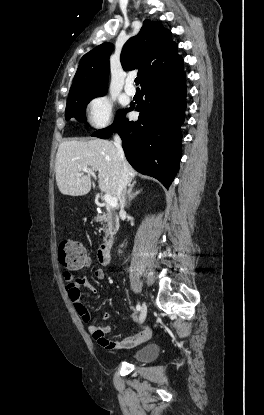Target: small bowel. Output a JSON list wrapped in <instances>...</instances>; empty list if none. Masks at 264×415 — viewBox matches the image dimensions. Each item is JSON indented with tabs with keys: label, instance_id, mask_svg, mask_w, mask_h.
<instances>
[{
	"label": "small bowel",
	"instance_id": "small-bowel-1",
	"mask_svg": "<svg viewBox=\"0 0 264 415\" xmlns=\"http://www.w3.org/2000/svg\"><path fill=\"white\" fill-rule=\"evenodd\" d=\"M82 268V267H81ZM65 279V290L73 302L77 313L81 316L84 322L90 320V315L87 313L81 297H82V288L87 286L93 293H96V289L91 286L84 277H73L68 271L63 273ZM93 275L96 279L100 280L105 277V270L102 267H98L94 270ZM102 318L109 319L111 315L108 313L101 314ZM138 315L133 313L129 316L128 320L130 322H136ZM88 332L92 337L98 342V344L107 350H121L125 348H131L136 345L147 342L152 334V331L149 327L144 328L140 332L127 336L120 340H109L106 338V334L110 333L112 327L110 325H96L89 324L87 327Z\"/></svg>",
	"mask_w": 264,
	"mask_h": 415
}]
</instances>
